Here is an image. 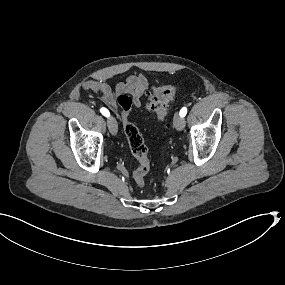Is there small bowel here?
Instances as JSON below:
<instances>
[{"label":"small bowel","instance_id":"1","mask_svg":"<svg viewBox=\"0 0 285 285\" xmlns=\"http://www.w3.org/2000/svg\"><path fill=\"white\" fill-rule=\"evenodd\" d=\"M149 83L142 74H133L125 82L117 83L113 88L98 80H87L83 88L98 95L112 109H117V96L121 93H130L134 96L135 106L141 105V99L148 90Z\"/></svg>","mask_w":285,"mask_h":285}]
</instances>
